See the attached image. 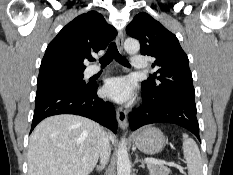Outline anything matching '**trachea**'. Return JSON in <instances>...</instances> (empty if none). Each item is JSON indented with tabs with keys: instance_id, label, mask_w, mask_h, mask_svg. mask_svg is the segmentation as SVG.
I'll list each match as a JSON object with an SVG mask.
<instances>
[{
	"instance_id": "1",
	"label": "trachea",
	"mask_w": 233,
	"mask_h": 175,
	"mask_svg": "<svg viewBox=\"0 0 233 175\" xmlns=\"http://www.w3.org/2000/svg\"><path fill=\"white\" fill-rule=\"evenodd\" d=\"M112 59H115L117 62L125 65V66H130L129 62L120 55V53L118 52L117 46L115 42H111L107 52L105 53V55L99 59V62L101 64V66H106L108 65ZM91 61H94L93 58L90 59Z\"/></svg>"
}]
</instances>
